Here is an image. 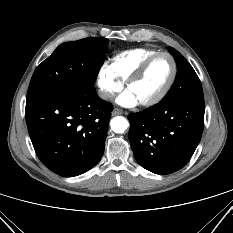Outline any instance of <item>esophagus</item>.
I'll return each mask as SVG.
<instances>
[{"label":"esophagus","instance_id":"34e87169","mask_svg":"<svg viewBox=\"0 0 233 233\" xmlns=\"http://www.w3.org/2000/svg\"><path fill=\"white\" fill-rule=\"evenodd\" d=\"M121 114H123V110H121L120 108H114L112 111L113 116L121 115Z\"/></svg>","mask_w":233,"mask_h":233}]
</instances>
